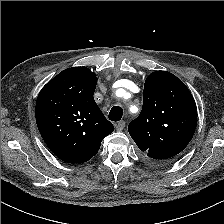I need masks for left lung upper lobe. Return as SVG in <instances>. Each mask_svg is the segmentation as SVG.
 Returning <instances> with one entry per match:
<instances>
[{"mask_svg":"<svg viewBox=\"0 0 224 224\" xmlns=\"http://www.w3.org/2000/svg\"><path fill=\"white\" fill-rule=\"evenodd\" d=\"M197 108L185 84L167 71L150 74L144 84L140 115L128 131L150 163L168 164L192 139Z\"/></svg>","mask_w":224,"mask_h":224,"instance_id":"left-lung-upper-lobe-1","label":"left lung upper lobe"}]
</instances>
